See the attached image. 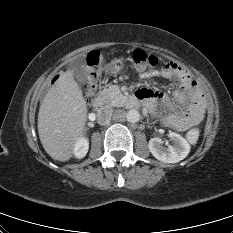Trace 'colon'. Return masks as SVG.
<instances>
[{
  "mask_svg": "<svg viewBox=\"0 0 233 233\" xmlns=\"http://www.w3.org/2000/svg\"><path fill=\"white\" fill-rule=\"evenodd\" d=\"M130 58L136 68H138L141 71H147L154 69L158 63L159 60L156 56L141 50V49H134L130 52ZM87 60L90 63V65L96 66L99 63V56L95 52H91L87 56ZM103 86V79L98 73H93L90 75L88 82L85 86V98L88 102L93 100L94 96L97 92L101 90ZM187 140L194 144L197 142L199 138V130L196 128L191 129L188 131Z\"/></svg>",
  "mask_w": 233,
  "mask_h": 233,
  "instance_id": "1",
  "label": "colon"
}]
</instances>
